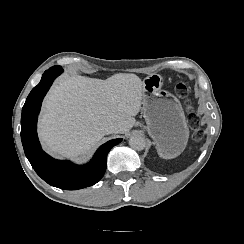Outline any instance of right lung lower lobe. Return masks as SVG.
<instances>
[{
  "label": "right lung lower lobe",
  "mask_w": 244,
  "mask_h": 244,
  "mask_svg": "<svg viewBox=\"0 0 244 244\" xmlns=\"http://www.w3.org/2000/svg\"><path fill=\"white\" fill-rule=\"evenodd\" d=\"M63 72L53 66L42 75L40 83L32 89L22 108L21 140L24 152L36 173L48 184L65 189L77 190L97 183L106 171L107 154L122 139H113L99 147L93 159L85 165L59 161L46 154L37 137V117L42 100L54 79Z\"/></svg>",
  "instance_id": "1"
}]
</instances>
